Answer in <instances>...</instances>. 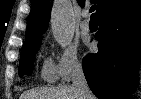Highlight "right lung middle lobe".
<instances>
[{
  "instance_id": "1",
  "label": "right lung middle lobe",
  "mask_w": 141,
  "mask_h": 99,
  "mask_svg": "<svg viewBox=\"0 0 141 99\" xmlns=\"http://www.w3.org/2000/svg\"><path fill=\"white\" fill-rule=\"evenodd\" d=\"M41 41L42 40L23 45L18 70L20 77L23 75H30L32 73L34 57L38 51Z\"/></svg>"
}]
</instances>
